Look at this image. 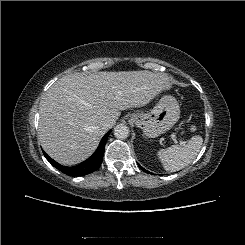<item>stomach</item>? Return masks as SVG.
Segmentation results:
<instances>
[{"label": "stomach", "instance_id": "obj_1", "mask_svg": "<svg viewBox=\"0 0 245 245\" xmlns=\"http://www.w3.org/2000/svg\"><path fill=\"white\" fill-rule=\"evenodd\" d=\"M180 118V106L171 95L163 96L149 113H134L131 120L150 138L170 130Z\"/></svg>", "mask_w": 245, "mask_h": 245}]
</instances>
